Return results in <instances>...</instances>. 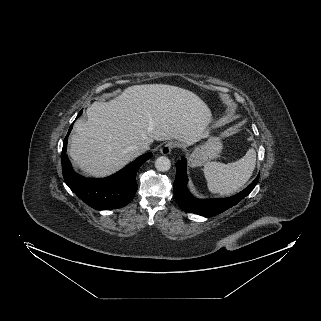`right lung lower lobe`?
I'll return each instance as SVG.
<instances>
[{
    "label": "right lung lower lobe",
    "instance_id": "98d812e1",
    "mask_svg": "<svg viewBox=\"0 0 321 321\" xmlns=\"http://www.w3.org/2000/svg\"><path fill=\"white\" fill-rule=\"evenodd\" d=\"M78 114L77 118L81 115ZM73 127L70 126L63 142L62 173L67 186L87 205L96 210H111L129 204L137 191L136 174L139 167L149 158L146 153L116 174L104 179H89L77 174L66 154L68 135Z\"/></svg>",
    "mask_w": 321,
    "mask_h": 321
}]
</instances>
